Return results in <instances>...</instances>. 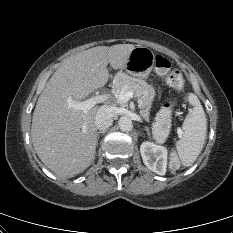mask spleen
Returning a JSON list of instances; mask_svg holds the SVG:
<instances>
[{
    "label": "spleen",
    "instance_id": "1",
    "mask_svg": "<svg viewBox=\"0 0 233 233\" xmlns=\"http://www.w3.org/2000/svg\"><path fill=\"white\" fill-rule=\"evenodd\" d=\"M188 99L193 107L188 110L183 122V136L176 143L178 156H174L171 161V164L177 167L179 160L186 167L196 161L205 144L207 133V119L198 97L190 94Z\"/></svg>",
    "mask_w": 233,
    "mask_h": 233
}]
</instances>
